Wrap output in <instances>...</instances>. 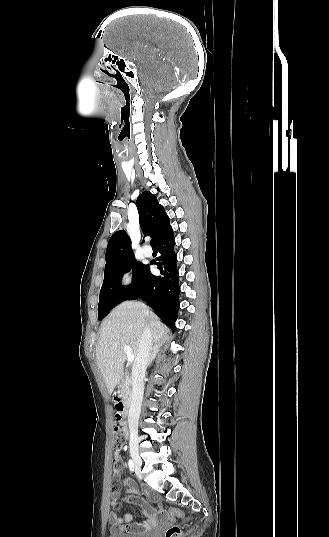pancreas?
<instances>
[{
	"label": "pancreas",
	"instance_id": "1",
	"mask_svg": "<svg viewBox=\"0 0 329 537\" xmlns=\"http://www.w3.org/2000/svg\"><path fill=\"white\" fill-rule=\"evenodd\" d=\"M119 388H120V392L123 395L131 394V389L129 388V383L127 379L122 381V383L119 385Z\"/></svg>",
	"mask_w": 329,
	"mask_h": 537
}]
</instances>
